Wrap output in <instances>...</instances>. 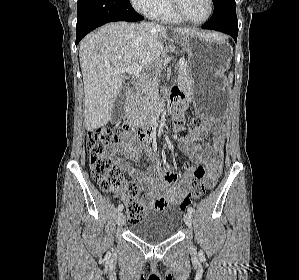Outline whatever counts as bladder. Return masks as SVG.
<instances>
[{
	"instance_id": "31cf9c89",
	"label": "bladder",
	"mask_w": 299,
	"mask_h": 280,
	"mask_svg": "<svg viewBox=\"0 0 299 280\" xmlns=\"http://www.w3.org/2000/svg\"><path fill=\"white\" fill-rule=\"evenodd\" d=\"M182 226V214L174 208H154L131 225V233L138 239L156 244L173 238Z\"/></svg>"
}]
</instances>
